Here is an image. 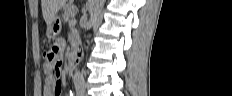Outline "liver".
Here are the masks:
<instances>
[{
  "instance_id": "liver-1",
  "label": "liver",
  "mask_w": 232,
  "mask_h": 96,
  "mask_svg": "<svg viewBox=\"0 0 232 96\" xmlns=\"http://www.w3.org/2000/svg\"><path fill=\"white\" fill-rule=\"evenodd\" d=\"M66 0H42V14L46 24H50Z\"/></svg>"
}]
</instances>
